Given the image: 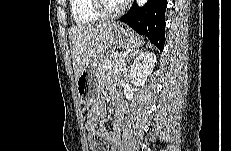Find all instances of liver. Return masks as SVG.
Segmentation results:
<instances>
[{"label": "liver", "mask_w": 231, "mask_h": 151, "mask_svg": "<svg viewBox=\"0 0 231 151\" xmlns=\"http://www.w3.org/2000/svg\"><path fill=\"white\" fill-rule=\"evenodd\" d=\"M117 27V23H99L70 28V50L76 82L91 58L111 49Z\"/></svg>", "instance_id": "1"}]
</instances>
